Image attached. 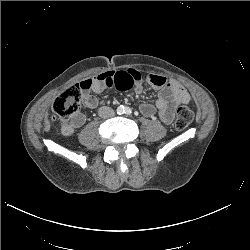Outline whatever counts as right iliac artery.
I'll use <instances>...</instances> for the list:
<instances>
[{
    "label": "right iliac artery",
    "instance_id": "right-iliac-artery-1",
    "mask_svg": "<svg viewBox=\"0 0 250 250\" xmlns=\"http://www.w3.org/2000/svg\"><path fill=\"white\" fill-rule=\"evenodd\" d=\"M117 113H118L119 115L123 114V113H124V108H122V107L118 108V109H117Z\"/></svg>",
    "mask_w": 250,
    "mask_h": 250
}]
</instances>
